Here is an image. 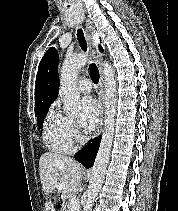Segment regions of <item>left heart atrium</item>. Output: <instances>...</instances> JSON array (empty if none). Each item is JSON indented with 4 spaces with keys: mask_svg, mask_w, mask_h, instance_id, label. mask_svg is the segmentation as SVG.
Returning <instances> with one entry per match:
<instances>
[{
    "mask_svg": "<svg viewBox=\"0 0 178 211\" xmlns=\"http://www.w3.org/2000/svg\"><path fill=\"white\" fill-rule=\"evenodd\" d=\"M80 125L86 131H91L97 124L100 115V106L92 97L84 98L81 103Z\"/></svg>",
    "mask_w": 178,
    "mask_h": 211,
    "instance_id": "1",
    "label": "left heart atrium"
}]
</instances>
